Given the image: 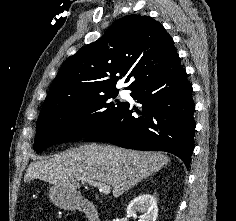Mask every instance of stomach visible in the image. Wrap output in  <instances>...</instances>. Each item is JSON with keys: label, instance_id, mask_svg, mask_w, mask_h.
<instances>
[{"label": "stomach", "instance_id": "1", "mask_svg": "<svg viewBox=\"0 0 236 221\" xmlns=\"http://www.w3.org/2000/svg\"><path fill=\"white\" fill-rule=\"evenodd\" d=\"M49 197L55 205L64 210L78 208L82 199L80 193L68 191L58 185H53L49 189Z\"/></svg>", "mask_w": 236, "mask_h": 221}]
</instances>
